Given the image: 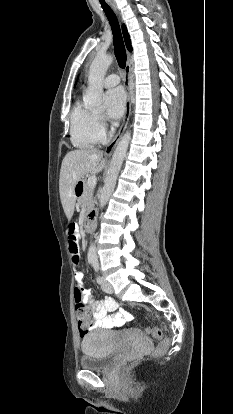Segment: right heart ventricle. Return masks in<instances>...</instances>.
I'll return each instance as SVG.
<instances>
[{
  "instance_id": "e07e8e85",
  "label": "right heart ventricle",
  "mask_w": 233,
  "mask_h": 414,
  "mask_svg": "<svg viewBox=\"0 0 233 414\" xmlns=\"http://www.w3.org/2000/svg\"><path fill=\"white\" fill-rule=\"evenodd\" d=\"M70 139L72 144L80 149L93 148L103 141L97 116L77 101L70 114Z\"/></svg>"
}]
</instances>
